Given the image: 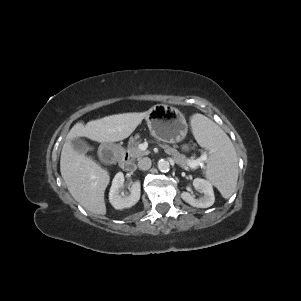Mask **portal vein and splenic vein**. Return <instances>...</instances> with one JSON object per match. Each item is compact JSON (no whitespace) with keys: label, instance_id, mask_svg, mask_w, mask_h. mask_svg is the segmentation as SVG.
<instances>
[{"label":"portal vein and splenic vein","instance_id":"portal-vein-and-splenic-vein-1","mask_svg":"<svg viewBox=\"0 0 301 301\" xmlns=\"http://www.w3.org/2000/svg\"><path fill=\"white\" fill-rule=\"evenodd\" d=\"M206 160H207V154L203 153L198 159L190 161L189 166L191 168H195V167L199 166L203 161H206Z\"/></svg>","mask_w":301,"mask_h":301}]
</instances>
